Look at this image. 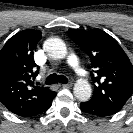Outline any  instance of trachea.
Returning a JSON list of instances; mask_svg holds the SVG:
<instances>
[{
    "mask_svg": "<svg viewBox=\"0 0 133 133\" xmlns=\"http://www.w3.org/2000/svg\"><path fill=\"white\" fill-rule=\"evenodd\" d=\"M63 83V84H67L68 83V79L63 76V75H57V74H51L46 78V84L47 85H51V84H55V83Z\"/></svg>",
    "mask_w": 133,
    "mask_h": 133,
    "instance_id": "1",
    "label": "trachea"
}]
</instances>
